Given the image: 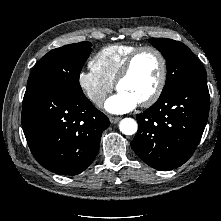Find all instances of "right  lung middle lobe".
Masks as SVG:
<instances>
[{"label": "right lung middle lobe", "mask_w": 221, "mask_h": 221, "mask_svg": "<svg viewBox=\"0 0 221 221\" xmlns=\"http://www.w3.org/2000/svg\"><path fill=\"white\" fill-rule=\"evenodd\" d=\"M92 44L84 41L53 49L32 70L27 86L83 93L79 84L81 69L89 57Z\"/></svg>", "instance_id": "1"}]
</instances>
